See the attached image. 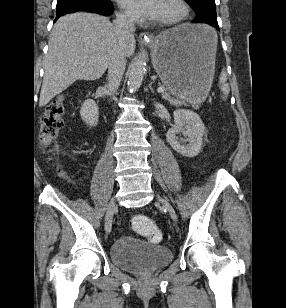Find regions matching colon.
Instances as JSON below:
<instances>
[{"mask_svg":"<svg viewBox=\"0 0 286 308\" xmlns=\"http://www.w3.org/2000/svg\"><path fill=\"white\" fill-rule=\"evenodd\" d=\"M65 113V98L58 96L51 100L40 117L39 140L43 146L53 144L63 127ZM133 228L152 243H158L162 235L154 223L142 214L134 217Z\"/></svg>","mask_w":286,"mask_h":308,"instance_id":"1","label":"colon"}]
</instances>
